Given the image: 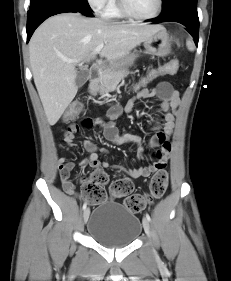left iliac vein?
Listing matches in <instances>:
<instances>
[{"instance_id": "1", "label": "left iliac vein", "mask_w": 231, "mask_h": 281, "mask_svg": "<svg viewBox=\"0 0 231 281\" xmlns=\"http://www.w3.org/2000/svg\"><path fill=\"white\" fill-rule=\"evenodd\" d=\"M143 228H144V230H145V233H146L149 237H151L150 224H149V221H148L146 218L143 219Z\"/></svg>"}]
</instances>
